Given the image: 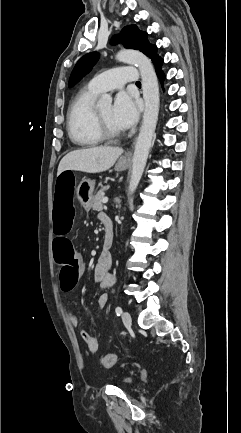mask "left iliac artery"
I'll use <instances>...</instances> for the list:
<instances>
[{
  "mask_svg": "<svg viewBox=\"0 0 241 433\" xmlns=\"http://www.w3.org/2000/svg\"><path fill=\"white\" fill-rule=\"evenodd\" d=\"M115 312L117 314V316H120L122 314V308L121 307H116Z\"/></svg>",
  "mask_w": 241,
  "mask_h": 433,
  "instance_id": "1",
  "label": "left iliac artery"
}]
</instances>
